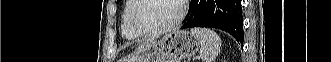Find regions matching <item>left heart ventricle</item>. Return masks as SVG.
Returning a JSON list of instances; mask_svg holds the SVG:
<instances>
[{
    "mask_svg": "<svg viewBox=\"0 0 331 62\" xmlns=\"http://www.w3.org/2000/svg\"><path fill=\"white\" fill-rule=\"evenodd\" d=\"M178 15L175 0H145L137 11L136 18L145 29H157L172 23Z\"/></svg>",
    "mask_w": 331,
    "mask_h": 62,
    "instance_id": "1",
    "label": "left heart ventricle"
}]
</instances>
